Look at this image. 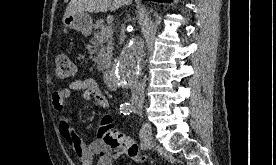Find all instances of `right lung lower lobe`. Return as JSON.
I'll return each mask as SVG.
<instances>
[{
  "label": "right lung lower lobe",
  "instance_id": "obj_1",
  "mask_svg": "<svg viewBox=\"0 0 276 165\" xmlns=\"http://www.w3.org/2000/svg\"><path fill=\"white\" fill-rule=\"evenodd\" d=\"M149 1H160V2H165V1H170V0H149Z\"/></svg>",
  "mask_w": 276,
  "mask_h": 165
}]
</instances>
